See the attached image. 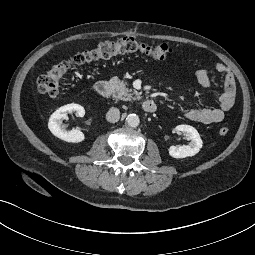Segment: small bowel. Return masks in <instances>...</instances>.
I'll return each mask as SVG.
<instances>
[{"label":"small bowel","instance_id":"obj_1","mask_svg":"<svg viewBox=\"0 0 255 255\" xmlns=\"http://www.w3.org/2000/svg\"><path fill=\"white\" fill-rule=\"evenodd\" d=\"M214 67L216 71L224 74V88L218 97L219 106L217 108H198L188 111L186 117L191 121L202 124L221 122L226 113H228L234 105L236 87L232 71L223 63H216ZM193 73L203 87L210 88L212 86V80L206 70L194 68Z\"/></svg>","mask_w":255,"mask_h":255}]
</instances>
